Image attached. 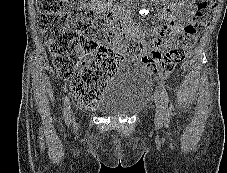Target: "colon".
<instances>
[{
  "label": "colon",
  "instance_id": "1",
  "mask_svg": "<svg viewBox=\"0 0 227 173\" xmlns=\"http://www.w3.org/2000/svg\"><path fill=\"white\" fill-rule=\"evenodd\" d=\"M74 0H37L39 25L53 64L63 79L70 80L78 102L94 105L119 63V56L107 41L115 37L119 21L112 14L96 16L85 8L70 9ZM216 0H199L192 23L184 26L178 42L163 49L158 40L149 48L141 40H131L129 51L163 78L183 62L196 45V35L212 21Z\"/></svg>",
  "mask_w": 227,
  "mask_h": 173
}]
</instances>
